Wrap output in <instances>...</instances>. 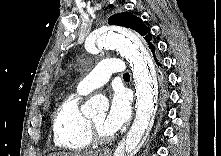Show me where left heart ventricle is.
<instances>
[{
  "mask_svg": "<svg viewBox=\"0 0 221 156\" xmlns=\"http://www.w3.org/2000/svg\"><path fill=\"white\" fill-rule=\"evenodd\" d=\"M106 114L104 112L99 113L91 118L94 124L98 127L101 133L105 135H109V133L104 129L103 124L105 120Z\"/></svg>",
  "mask_w": 221,
  "mask_h": 156,
  "instance_id": "obj_1",
  "label": "left heart ventricle"
}]
</instances>
